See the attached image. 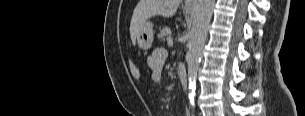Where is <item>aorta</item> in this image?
<instances>
[{
    "label": "aorta",
    "instance_id": "obj_1",
    "mask_svg": "<svg viewBox=\"0 0 305 116\" xmlns=\"http://www.w3.org/2000/svg\"><path fill=\"white\" fill-rule=\"evenodd\" d=\"M214 5L215 0H198L195 8L187 54L188 95L191 104L193 103L195 95L197 71L201 59L202 48L206 41Z\"/></svg>",
    "mask_w": 305,
    "mask_h": 116
}]
</instances>
